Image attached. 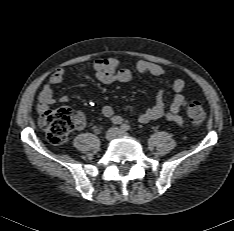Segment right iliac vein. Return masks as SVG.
I'll use <instances>...</instances> for the list:
<instances>
[{
    "label": "right iliac vein",
    "mask_w": 234,
    "mask_h": 231,
    "mask_svg": "<svg viewBox=\"0 0 234 231\" xmlns=\"http://www.w3.org/2000/svg\"><path fill=\"white\" fill-rule=\"evenodd\" d=\"M118 136V129L117 128H111L106 132L105 138L107 141H112Z\"/></svg>",
    "instance_id": "right-iliac-vein-1"
}]
</instances>
